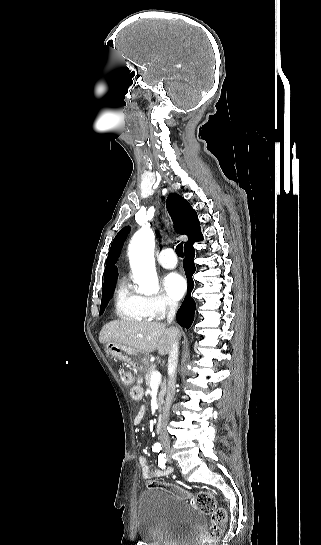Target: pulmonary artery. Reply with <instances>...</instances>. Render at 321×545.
<instances>
[{"mask_svg": "<svg viewBox=\"0 0 321 545\" xmlns=\"http://www.w3.org/2000/svg\"><path fill=\"white\" fill-rule=\"evenodd\" d=\"M173 257V251L167 248L160 251V254L157 256V261L162 267L173 269L177 266V260H174Z\"/></svg>", "mask_w": 321, "mask_h": 545, "instance_id": "obj_1", "label": "pulmonary artery"}]
</instances>
